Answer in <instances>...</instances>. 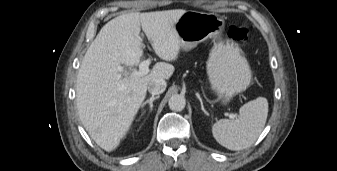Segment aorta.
Instances as JSON below:
<instances>
[{
	"label": "aorta",
	"instance_id": "obj_1",
	"mask_svg": "<svg viewBox=\"0 0 337 171\" xmlns=\"http://www.w3.org/2000/svg\"><path fill=\"white\" fill-rule=\"evenodd\" d=\"M169 108L173 111H182L186 106V100L184 96L179 94H174L169 98L168 102Z\"/></svg>",
	"mask_w": 337,
	"mask_h": 171
}]
</instances>
